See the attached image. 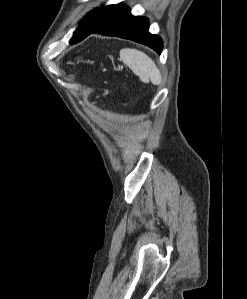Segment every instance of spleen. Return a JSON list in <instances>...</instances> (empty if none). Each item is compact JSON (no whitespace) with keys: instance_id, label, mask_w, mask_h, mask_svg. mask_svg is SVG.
<instances>
[{"instance_id":"1","label":"spleen","mask_w":247,"mask_h":299,"mask_svg":"<svg viewBox=\"0 0 247 299\" xmlns=\"http://www.w3.org/2000/svg\"><path fill=\"white\" fill-rule=\"evenodd\" d=\"M120 59L128 66L135 75L144 83L150 81L159 85L161 74L154 61L144 52L137 49L124 48L120 50Z\"/></svg>"}]
</instances>
